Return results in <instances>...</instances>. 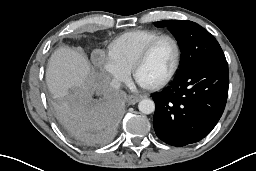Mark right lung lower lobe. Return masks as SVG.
I'll use <instances>...</instances> for the list:
<instances>
[{
	"instance_id": "right-lung-lower-lobe-1",
	"label": "right lung lower lobe",
	"mask_w": 256,
	"mask_h": 171,
	"mask_svg": "<svg viewBox=\"0 0 256 171\" xmlns=\"http://www.w3.org/2000/svg\"><path fill=\"white\" fill-rule=\"evenodd\" d=\"M123 108L124 94L103 88L97 95L72 98L58 114L72 137L90 145H101L114 137Z\"/></svg>"
}]
</instances>
